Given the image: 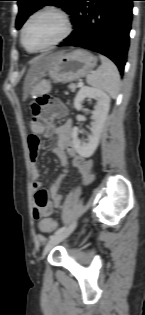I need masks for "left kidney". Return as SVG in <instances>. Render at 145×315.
<instances>
[{
    "instance_id": "left-kidney-1",
    "label": "left kidney",
    "mask_w": 145,
    "mask_h": 315,
    "mask_svg": "<svg viewBox=\"0 0 145 315\" xmlns=\"http://www.w3.org/2000/svg\"><path fill=\"white\" fill-rule=\"evenodd\" d=\"M85 98H92L97 101L94 111H92L93 123L91 135L88 138V143H83L78 138V128L74 127L72 130V138L76 152L80 156L87 158L93 155L98 146L104 122L109 111L110 97L99 89L84 86L79 90L74 99L75 109L80 110L82 108V102Z\"/></svg>"
}]
</instances>
